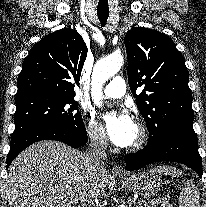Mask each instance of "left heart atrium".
Masks as SVG:
<instances>
[{
	"instance_id": "1",
	"label": "left heart atrium",
	"mask_w": 206,
	"mask_h": 207,
	"mask_svg": "<svg viewBox=\"0 0 206 207\" xmlns=\"http://www.w3.org/2000/svg\"><path fill=\"white\" fill-rule=\"evenodd\" d=\"M110 140L120 146H130L134 141L136 124L131 115L123 110L117 115L104 117Z\"/></svg>"
}]
</instances>
